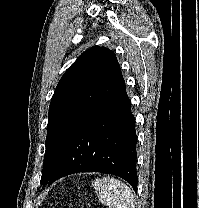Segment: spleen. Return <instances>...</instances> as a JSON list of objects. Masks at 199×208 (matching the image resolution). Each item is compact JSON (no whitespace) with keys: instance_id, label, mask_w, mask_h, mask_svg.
<instances>
[{"instance_id":"spleen-1","label":"spleen","mask_w":199,"mask_h":208,"mask_svg":"<svg viewBox=\"0 0 199 208\" xmlns=\"http://www.w3.org/2000/svg\"><path fill=\"white\" fill-rule=\"evenodd\" d=\"M99 201L109 208H134L131 189L113 177L97 178L92 182Z\"/></svg>"}]
</instances>
